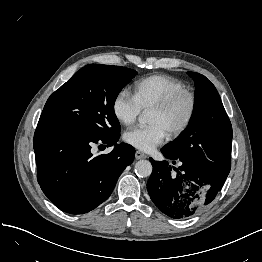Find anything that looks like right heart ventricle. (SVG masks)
<instances>
[{
	"label": "right heart ventricle",
	"mask_w": 262,
	"mask_h": 262,
	"mask_svg": "<svg viewBox=\"0 0 262 262\" xmlns=\"http://www.w3.org/2000/svg\"><path fill=\"white\" fill-rule=\"evenodd\" d=\"M184 89V84L177 78L164 74H155L143 78L134 86V97L142 110L151 107L167 95Z\"/></svg>",
	"instance_id": "e07e8e85"
}]
</instances>
